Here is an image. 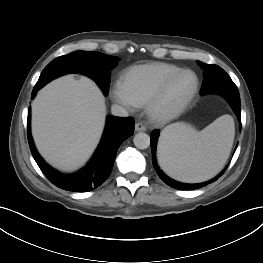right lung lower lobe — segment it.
I'll return each mask as SVG.
<instances>
[{"label":"right lung lower lobe","mask_w":263,"mask_h":263,"mask_svg":"<svg viewBox=\"0 0 263 263\" xmlns=\"http://www.w3.org/2000/svg\"><path fill=\"white\" fill-rule=\"evenodd\" d=\"M41 87L35 86L32 98ZM134 120L108 116L101 144L91 161L81 171L64 175L52 169L38 154L30 132V108L28 109L27 134L31 153L44 175L57 187L77 192H87L99 187L110 175L117 150L122 142L133 135Z\"/></svg>","instance_id":"right-lung-lower-lobe-1"}]
</instances>
